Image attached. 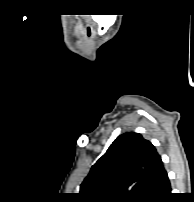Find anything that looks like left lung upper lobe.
<instances>
[{
	"mask_svg": "<svg viewBox=\"0 0 194 202\" xmlns=\"http://www.w3.org/2000/svg\"><path fill=\"white\" fill-rule=\"evenodd\" d=\"M164 173L151 142L128 132L92 166L79 196L83 202H151Z\"/></svg>",
	"mask_w": 194,
	"mask_h": 202,
	"instance_id": "5c2ea615",
	"label": "left lung upper lobe"
}]
</instances>
